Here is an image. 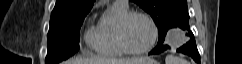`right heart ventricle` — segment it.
<instances>
[{
    "label": "right heart ventricle",
    "mask_w": 242,
    "mask_h": 64,
    "mask_svg": "<svg viewBox=\"0 0 242 64\" xmlns=\"http://www.w3.org/2000/svg\"><path fill=\"white\" fill-rule=\"evenodd\" d=\"M129 12L128 7L113 3L101 15L98 23L88 36V45L102 56L118 57L124 54L118 42V25Z\"/></svg>",
    "instance_id": "obj_1"
}]
</instances>
